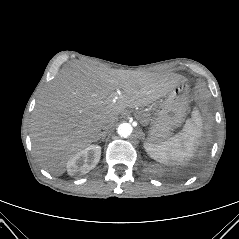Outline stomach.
I'll use <instances>...</instances> for the list:
<instances>
[{"mask_svg":"<svg viewBox=\"0 0 239 239\" xmlns=\"http://www.w3.org/2000/svg\"><path fill=\"white\" fill-rule=\"evenodd\" d=\"M188 85L181 84L168 93L164 100L159 101L155 120L150 127L148 140L159 143L172 135L187 114Z\"/></svg>","mask_w":239,"mask_h":239,"instance_id":"obj_1","label":"stomach"}]
</instances>
